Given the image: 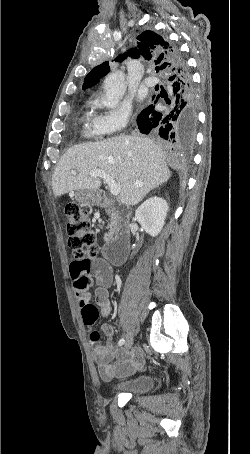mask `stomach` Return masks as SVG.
I'll return each instance as SVG.
<instances>
[{
    "label": "stomach",
    "instance_id": "obj_1",
    "mask_svg": "<svg viewBox=\"0 0 250 454\" xmlns=\"http://www.w3.org/2000/svg\"><path fill=\"white\" fill-rule=\"evenodd\" d=\"M77 199L90 205H96L100 202V195L97 190H80L77 192Z\"/></svg>",
    "mask_w": 250,
    "mask_h": 454
}]
</instances>
